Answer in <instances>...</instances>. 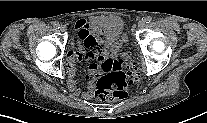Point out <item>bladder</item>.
Returning a JSON list of instances; mask_svg holds the SVG:
<instances>
[{"label": "bladder", "mask_w": 207, "mask_h": 123, "mask_svg": "<svg viewBox=\"0 0 207 123\" xmlns=\"http://www.w3.org/2000/svg\"><path fill=\"white\" fill-rule=\"evenodd\" d=\"M93 27L102 39L105 48L115 50L122 43L124 22L118 16H105L96 19Z\"/></svg>", "instance_id": "1"}]
</instances>
